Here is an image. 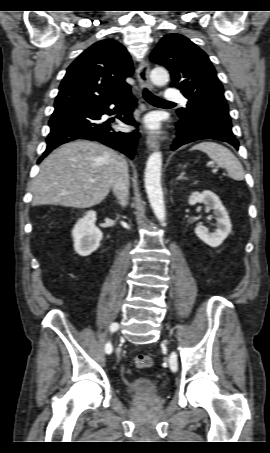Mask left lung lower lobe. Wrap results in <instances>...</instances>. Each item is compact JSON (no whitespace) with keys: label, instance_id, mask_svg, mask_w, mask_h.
<instances>
[{"label":"left lung lower lobe","instance_id":"0a47b994","mask_svg":"<svg viewBox=\"0 0 270 453\" xmlns=\"http://www.w3.org/2000/svg\"><path fill=\"white\" fill-rule=\"evenodd\" d=\"M177 139L171 146L172 150L180 146L203 139H216L225 141L236 149L239 142L232 133V130L209 120L202 112L196 111L187 118H180L176 123Z\"/></svg>","mask_w":270,"mask_h":453}]
</instances>
